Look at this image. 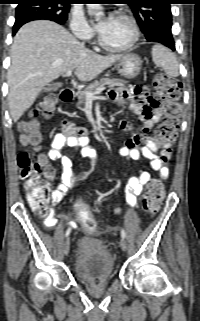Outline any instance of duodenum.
<instances>
[{
    "instance_id": "duodenum-1",
    "label": "duodenum",
    "mask_w": 200,
    "mask_h": 321,
    "mask_svg": "<svg viewBox=\"0 0 200 321\" xmlns=\"http://www.w3.org/2000/svg\"><path fill=\"white\" fill-rule=\"evenodd\" d=\"M75 97V93L72 89L65 88L61 91L60 98L63 102H71Z\"/></svg>"
}]
</instances>
